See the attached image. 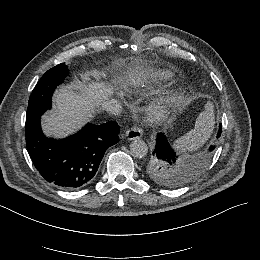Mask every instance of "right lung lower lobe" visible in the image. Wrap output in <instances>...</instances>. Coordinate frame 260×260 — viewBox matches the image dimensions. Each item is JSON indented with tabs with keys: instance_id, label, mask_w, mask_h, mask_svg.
I'll use <instances>...</instances> for the list:
<instances>
[{
	"instance_id": "right-lung-lower-lobe-1",
	"label": "right lung lower lobe",
	"mask_w": 260,
	"mask_h": 260,
	"mask_svg": "<svg viewBox=\"0 0 260 260\" xmlns=\"http://www.w3.org/2000/svg\"><path fill=\"white\" fill-rule=\"evenodd\" d=\"M115 121L88 123L77 134L63 140L46 138L40 118L26 124V146L34 166L49 183L65 190L91 184L108 147L119 141Z\"/></svg>"
}]
</instances>
